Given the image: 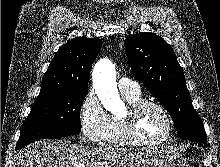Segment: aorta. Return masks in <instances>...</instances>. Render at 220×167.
Segmentation results:
<instances>
[{
    "label": "aorta",
    "instance_id": "obj_1",
    "mask_svg": "<svg viewBox=\"0 0 220 167\" xmlns=\"http://www.w3.org/2000/svg\"><path fill=\"white\" fill-rule=\"evenodd\" d=\"M93 85L104 108L116 112L124 108L117 89L115 66L108 59L100 60L93 69Z\"/></svg>",
    "mask_w": 220,
    "mask_h": 167
}]
</instances>
